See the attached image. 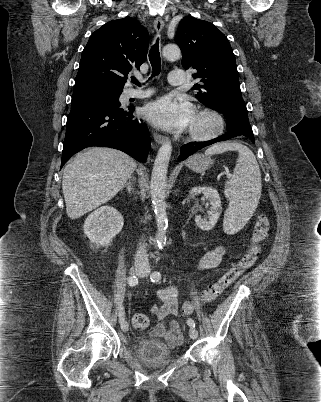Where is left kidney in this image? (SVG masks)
<instances>
[{"label":"left kidney","instance_id":"obj_1","mask_svg":"<svg viewBox=\"0 0 321 402\" xmlns=\"http://www.w3.org/2000/svg\"><path fill=\"white\" fill-rule=\"evenodd\" d=\"M189 193L192 196L202 193L205 198L210 201V211L208 212V219L201 218V216H195V222L200 229L204 231L211 230L217 223L222 212L219 193L215 188L207 186L194 187L190 190Z\"/></svg>","mask_w":321,"mask_h":402}]
</instances>
